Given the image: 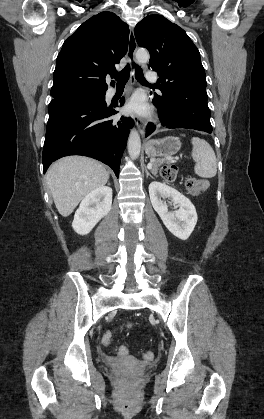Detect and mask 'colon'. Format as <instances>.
<instances>
[{"label":"colon","mask_w":264,"mask_h":419,"mask_svg":"<svg viewBox=\"0 0 264 419\" xmlns=\"http://www.w3.org/2000/svg\"><path fill=\"white\" fill-rule=\"evenodd\" d=\"M178 174V168L175 165H166L161 169V176L166 181H173ZM186 187L189 192L193 194L200 193L207 189L208 182L205 179H188L186 182ZM128 326H132V324H128ZM103 344L110 345L112 341V334L107 332L104 334L102 338ZM127 349V348H126ZM144 359L152 360L154 358V354L152 351H146L143 354Z\"/></svg>","instance_id":"1"}]
</instances>
